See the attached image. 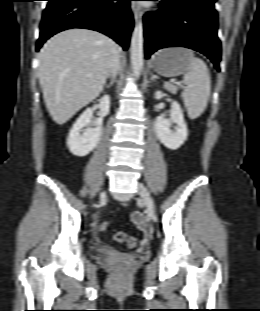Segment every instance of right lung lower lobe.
I'll return each mask as SVG.
<instances>
[{
	"label": "right lung lower lobe",
	"mask_w": 260,
	"mask_h": 311,
	"mask_svg": "<svg viewBox=\"0 0 260 311\" xmlns=\"http://www.w3.org/2000/svg\"><path fill=\"white\" fill-rule=\"evenodd\" d=\"M43 13L39 51L52 35L71 28L96 30L113 38L125 50L133 28L131 0H47Z\"/></svg>",
	"instance_id": "right-lung-lower-lobe-1"
}]
</instances>
